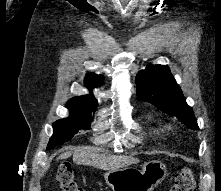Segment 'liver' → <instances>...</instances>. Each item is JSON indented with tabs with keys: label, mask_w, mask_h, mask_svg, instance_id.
I'll list each match as a JSON object with an SVG mask.
<instances>
[{
	"label": "liver",
	"mask_w": 221,
	"mask_h": 191,
	"mask_svg": "<svg viewBox=\"0 0 221 191\" xmlns=\"http://www.w3.org/2000/svg\"><path fill=\"white\" fill-rule=\"evenodd\" d=\"M71 154V152H64L59 158L65 159ZM73 162L79 165L93 166L101 170L110 171L138 163L139 160L129 156H107L100 154L94 147L81 146L73 148Z\"/></svg>",
	"instance_id": "6515ba94"
}]
</instances>
